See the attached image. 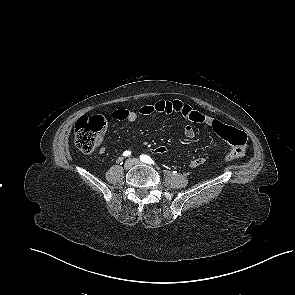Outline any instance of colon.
Instances as JSON below:
<instances>
[{
  "instance_id": "5ec220e1",
  "label": "colon",
  "mask_w": 295,
  "mask_h": 295,
  "mask_svg": "<svg viewBox=\"0 0 295 295\" xmlns=\"http://www.w3.org/2000/svg\"><path fill=\"white\" fill-rule=\"evenodd\" d=\"M106 121L100 115L82 116L75 124V142L80 151L91 153L99 145ZM219 135L225 139L232 148L227 153L226 159H242L246 155V135L243 131L221 124L218 126ZM166 151L164 146L154 149L155 153L161 154Z\"/></svg>"
}]
</instances>
